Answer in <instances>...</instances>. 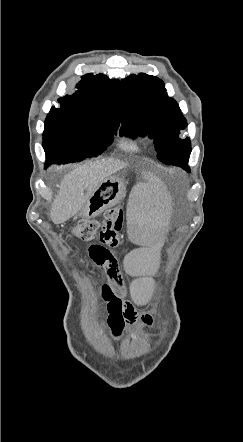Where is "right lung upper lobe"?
<instances>
[{
    "instance_id": "right-lung-upper-lobe-1",
    "label": "right lung upper lobe",
    "mask_w": 243,
    "mask_h": 442,
    "mask_svg": "<svg viewBox=\"0 0 243 442\" xmlns=\"http://www.w3.org/2000/svg\"><path fill=\"white\" fill-rule=\"evenodd\" d=\"M78 91L58 99L60 107L81 116L111 121L119 126L121 84L103 74H86L77 85Z\"/></svg>"
}]
</instances>
